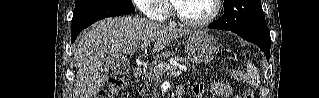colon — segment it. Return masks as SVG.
Returning <instances> with one entry per match:
<instances>
[{
  "mask_svg": "<svg viewBox=\"0 0 319 98\" xmlns=\"http://www.w3.org/2000/svg\"><path fill=\"white\" fill-rule=\"evenodd\" d=\"M243 73L240 71H234L233 77L237 80L243 79ZM127 84L126 78L123 76H112L108 80V88L102 92L99 98H113L118 92L125 89ZM246 98H251L250 93H246Z\"/></svg>",
  "mask_w": 319,
  "mask_h": 98,
  "instance_id": "5ec220e1",
  "label": "colon"
}]
</instances>
